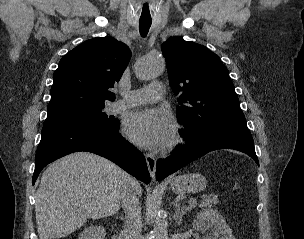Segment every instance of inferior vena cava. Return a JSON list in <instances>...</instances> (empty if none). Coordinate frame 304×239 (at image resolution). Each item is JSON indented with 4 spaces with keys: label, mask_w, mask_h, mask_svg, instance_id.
<instances>
[{
    "label": "inferior vena cava",
    "mask_w": 304,
    "mask_h": 239,
    "mask_svg": "<svg viewBox=\"0 0 304 239\" xmlns=\"http://www.w3.org/2000/svg\"><path fill=\"white\" fill-rule=\"evenodd\" d=\"M135 186V179L130 177L127 186L121 194L122 206L126 214L124 226L126 239H143L141 234V207L135 192Z\"/></svg>",
    "instance_id": "obj_1"
}]
</instances>
